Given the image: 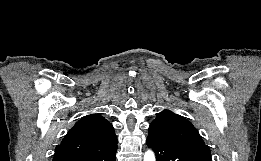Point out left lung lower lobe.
<instances>
[{"instance_id": "left-lung-lower-lobe-1", "label": "left lung lower lobe", "mask_w": 261, "mask_h": 161, "mask_svg": "<svg viewBox=\"0 0 261 161\" xmlns=\"http://www.w3.org/2000/svg\"><path fill=\"white\" fill-rule=\"evenodd\" d=\"M147 145L155 152L156 161H212L210 151L199 148L169 145L149 137Z\"/></svg>"}]
</instances>
